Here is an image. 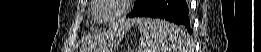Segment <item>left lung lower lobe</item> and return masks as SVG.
<instances>
[{
    "label": "left lung lower lobe",
    "mask_w": 261,
    "mask_h": 52,
    "mask_svg": "<svg viewBox=\"0 0 261 52\" xmlns=\"http://www.w3.org/2000/svg\"><path fill=\"white\" fill-rule=\"evenodd\" d=\"M134 17L166 19L179 25L181 28H186L189 33H192L188 5L185 0H153ZM172 36V33H169L166 37L170 38Z\"/></svg>",
    "instance_id": "1"
}]
</instances>
